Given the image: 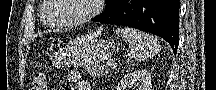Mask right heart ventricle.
<instances>
[{
    "label": "right heart ventricle",
    "mask_w": 216,
    "mask_h": 90,
    "mask_svg": "<svg viewBox=\"0 0 216 90\" xmlns=\"http://www.w3.org/2000/svg\"><path fill=\"white\" fill-rule=\"evenodd\" d=\"M41 6H48V2H41ZM41 14H46V10H41Z\"/></svg>",
    "instance_id": "right-heart-ventricle-1"
}]
</instances>
